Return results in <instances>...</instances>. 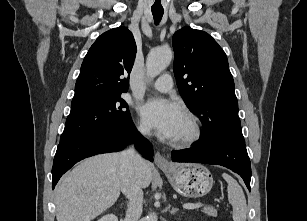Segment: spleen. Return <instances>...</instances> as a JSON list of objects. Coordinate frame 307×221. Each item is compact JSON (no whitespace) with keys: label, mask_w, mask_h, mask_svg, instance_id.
<instances>
[{"label":"spleen","mask_w":307,"mask_h":221,"mask_svg":"<svg viewBox=\"0 0 307 221\" xmlns=\"http://www.w3.org/2000/svg\"><path fill=\"white\" fill-rule=\"evenodd\" d=\"M222 177L228 184V200L233 207V220L246 221L247 204L242 188L229 174L223 173Z\"/></svg>","instance_id":"obj_1"}]
</instances>
